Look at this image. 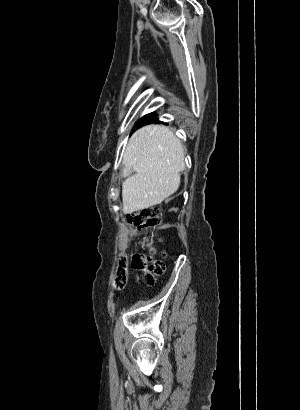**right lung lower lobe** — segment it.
<instances>
[{
  "label": "right lung lower lobe",
  "instance_id": "right-lung-lower-lobe-1",
  "mask_svg": "<svg viewBox=\"0 0 300 410\" xmlns=\"http://www.w3.org/2000/svg\"><path fill=\"white\" fill-rule=\"evenodd\" d=\"M152 122H155V123L157 122V118H156L155 115L150 117L146 121H144L140 126H143V125H146V124H149V123H152Z\"/></svg>",
  "mask_w": 300,
  "mask_h": 410
}]
</instances>
